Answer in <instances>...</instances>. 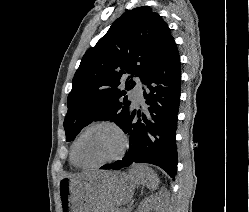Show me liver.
I'll return each instance as SVG.
<instances>
[{"mask_svg":"<svg viewBox=\"0 0 249 212\" xmlns=\"http://www.w3.org/2000/svg\"><path fill=\"white\" fill-rule=\"evenodd\" d=\"M146 168L147 166H132L128 174L98 170V172L76 174V178L88 182L93 190H97L100 206L106 212H110L114 206H125L131 202L135 188L146 182ZM156 182L158 186V178Z\"/></svg>","mask_w":249,"mask_h":212,"instance_id":"liver-1","label":"liver"}]
</instances>
